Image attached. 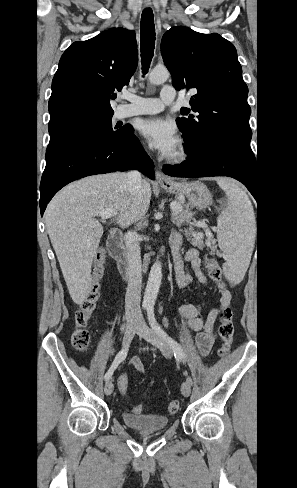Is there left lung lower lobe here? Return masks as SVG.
I'll return each instance as SVG.
<instances>
[{
	"label": "left lung lower lobe",
	"mask_w": 297,
	"mask_h": 488,
	"mask_svg": "<svg viewBox=\"0 0 297 488\" xmlns=\"http://www.w3.org/2000/svg\"><path fill=\"white\" fill-rule=\"evenodd\" d=\"M163 172L174 177L228 176L243 183L258 202L255 156L222 147H208Z\"/></svg>",
	"instance_id": "0a47b994"
}]
</instances>
